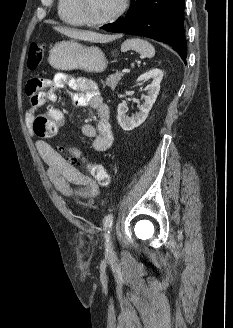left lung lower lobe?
Instances as JSON below:
<instances>
[{
    "label": "left lung lower lobe",
    "instance_id": "0a47b994",
    "mask_svg": "<svg viewBox=\"0 0 233 328\" xmlns=\"http://www.w3.org/2000/svg\"><path fill=\"white\" fill-rule=\"evenodd\" d=\"M184 7V0H131L124 18L101 28L108 32L138 34L166 43L185 60Z\"/></svg>",
    "mask_w": 233,
    "mask_h": 328
}]
</instances>
